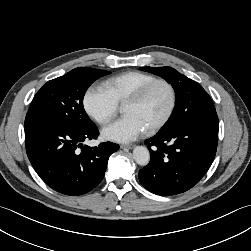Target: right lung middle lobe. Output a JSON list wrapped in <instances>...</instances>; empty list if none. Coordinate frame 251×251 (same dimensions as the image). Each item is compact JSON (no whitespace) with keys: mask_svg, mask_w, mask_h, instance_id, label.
I'll return each mask as SVG.
<instances>
[{"mask_svg":"<svg viewBox=\"0 0 251 251\" xmlns=\"http://www.w3.org/2000/svg\"><path fill=\"white\" fill-rule=\"evenodd\" d=\"M110 72L88 67L73 69L48 81L33 98L27 115H37L77 130L95 126L83 107L88 87Z\"/></svg>","mask_w":251,"mask_h":251,"instance_id":"1","label":"right lung middle lobe"}]
</instances>
